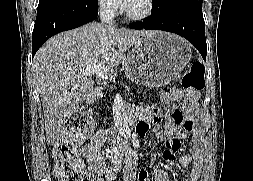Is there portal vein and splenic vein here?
I'll use <instances>...</instances> for the list:
<instances>
[{
  "mask_svg": "<svg viewBox=\"0 0 253 181\" xmlns=\"http://www.w3.org/2000/svg\"><path fill=\"white\" fill-rule=\"evenodd\" d=\"M94 74H96L97 76H99L104 80H109L113 78L109 69L106 67L105 62H99L98 64H92L87 66L84 75L91 76Z\"/></svg>",
  "mask_w": 253,
  "mask_h": 181,
  "instance_id": "1",
  "label": "portal vein and splenic vein"
}]
</instances>
